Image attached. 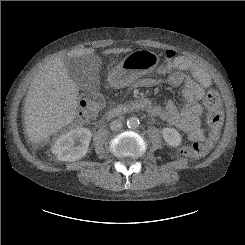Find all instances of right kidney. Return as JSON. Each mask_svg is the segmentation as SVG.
I'll use <instances>...</instances> for the list:
<instances>
[{
	"instance_id": "1",
	"label": "right kidney",
	"mask_w": 245,
	"mask_h": 245,
	"mask_svg": "<svg viewBox=\"0 0 245 245\" xmlns=\"http://www.w3.org/2000/svg\"><path fill=\"white\" fill-rule=\"evenodd\" d=\"M92 133L87 128H77L62 135L52 146L51 151L60 161H75L88 151Z\"/></svg>"
}]
</instances>
